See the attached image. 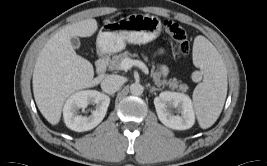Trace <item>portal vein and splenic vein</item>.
Wrapping results in <instances>:
<instances>
[{
  "label": "portal vein and splenic vein",
  "instance_id": "portal-vein-and-splenic-vein-1",
  "mask_svg": "<svg viewBox=\"0 0 267 166\" xmlns=\"http://www.w3.org/2000/svg\"><path fill=\"white\" fill-rule=\"evenodd\" d=\"M133 66H136L138 68H140L143 72L147 73L149 72L148 67L146 66V64L144 62H142L141 60H133L131 58H125L122 62H121V69L122 70H129L130 68H132Z\"/></svg>",
  "mask_w": 267,
  "mask_h": 166
}]
</instances>
